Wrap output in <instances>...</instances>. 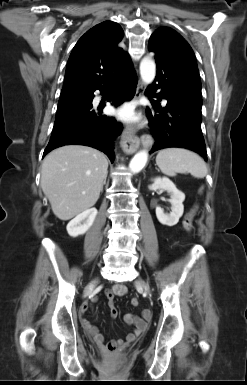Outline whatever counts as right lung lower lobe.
Masks as SVG:
<instances>
[{
  "instance_id": "right-lung-lower-lobe-1",
  "label": "right lung lower lobe",
  "mask_w": 247,
  "mask_h": 385,
  "mask_svg": "<svg viewBox=\"0 0 247 385\" xmlns=\"http://www.w3.org/2000/svg\"><path fill=\"white\" fill-rule=\"evenodd\" d=\"M136 85L137 77L134 69L132 65H128L107 85L97 89L101 91L112 89L113 93L108 101L118 106L133 98ZM95 90L91 91L89 98L57 111L53 132L43 156L57 147L79 144L101 150L108 155L111 162L114 161L113 140L121 134L122 124L116 122L113 117L102 116V105L98 108L93 107Z\"/></svg>"
}]
</instances>
